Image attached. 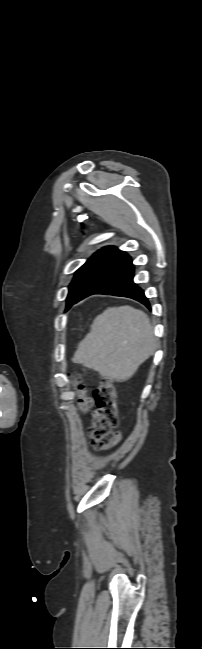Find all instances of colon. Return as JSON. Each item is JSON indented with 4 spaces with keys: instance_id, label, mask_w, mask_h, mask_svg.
I'll return each instance as SVG.
<instances>
[{
    "instance_id": "obj_1",
    "label": "colon",
    "mask_w": 202,
    "mask_h": 649,
    "mask_svg": "<svg viewBox=\"0 0 202 649\" xmlns=\"http://www.w3.org/2000/svg\"><path fill=\"white\" fill-rule=\"evenodd\" d=\"M74 387L81 412L87 413L95 406L92 425L89 429L93 447L103 450L116 445L121 436L113 431L118 424L117 393L114 383L110 380L102 381L94 390L93 397L86 395L85 388L79 380L74 381Z\"/></svg>"
}]
</instances>
